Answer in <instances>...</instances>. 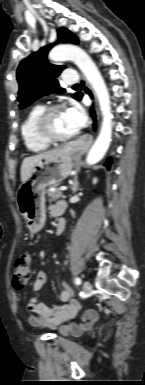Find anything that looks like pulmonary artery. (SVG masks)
I'll return each instance as SVG.
<instances>
[{"mask_svg":"<svg viewBox=\"0 0 145 385\" xmlns=\"http://www.w3.org/2000/svg\"><path fill=\"white\" fill-rule=\"evenodd\" d=\"M63 79L66 84H73L77 82L78 77L73 70H66Z\"/></svg>","mask_w":145,"mask_h":385,"instance_id":"pulmonary-artery-1","label":"pulmonary artery"}]
</instances>
